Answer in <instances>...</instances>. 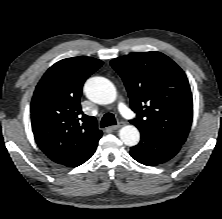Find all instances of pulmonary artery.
Returning a JSON list of instances; mask_svg holds the SVG:
<instances>
[{
	"mask_svg": "<svg viewBox=\"0 0 222 219\" xmlns=\"http://www.w3.org/2000/svg\"><path fill=\"white\" fill-rule=\"evenodd\" d=\"M121 111H122L123 115L129 119H132L134 117L132 111L128 107H126L125 105L121 106Z\"/></svg>",
	"mask_w": 222,
	"mask_h": 219,
	"instance_id": "1",
	"label": "pulmonary artery"
}]
</instances>
